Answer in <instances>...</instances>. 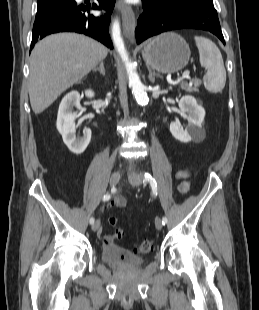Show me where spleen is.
Returning a JSON list of instances; mask_svg holds the SVG:
<instances>
[{
  "label": "spleen",
  "instance_id": "1",
  "mask_svg": "<svg viewBox=\"0 0 259 310\" xmlns=\"http://www.w3.org/2000/svg\"><path fill=\"white\" fill-rule=\"evenodd\" d=\"M194 40L199 50L200 64L207 70L203 77L204 86L211 93H219L226 83V70L221 52L208 38L195 36Z\"/></svg>",
  "mask_w": 259,
  "mask_h": 310
}]
</instances>
